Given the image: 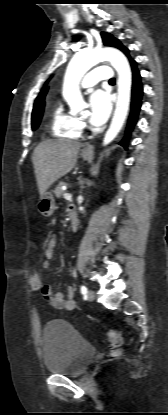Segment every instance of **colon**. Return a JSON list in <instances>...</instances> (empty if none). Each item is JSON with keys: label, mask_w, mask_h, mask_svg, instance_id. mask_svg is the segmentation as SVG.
Masks as SVG:
<instances>
[{"label": "colon", "mask_w": 168, "mask_h": 415, "mask_svg": "<svg viewBox=\"0 0 168 415\" xmlns=\"http://www.w3.org/2000/svg\"><path fill=\"white\" fill-rule=\"evenodd\" d=\"M42 261H43V258L39 257L38 261L33 264V272L29 276L30 288L33 293H38L39 291L43 289L44 276L42 274ZM107 339L109 343L111 344V346L114 348L112 351V355L114 356L119 355L120 354L119 347L121 346V343H122L121 336L116 331L110 330L107 333Z\"/></svg>", "instance_id": "5ec220e1"}]
</instances>
